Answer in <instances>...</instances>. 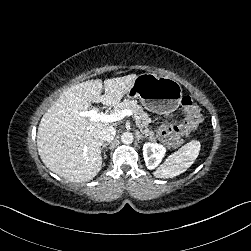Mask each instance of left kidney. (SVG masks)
<instances>
[{
	"instance_id": "obj_1",
	"label": "left kidney",
	"mask_w": 251,
	"mask_h": 251,
	"mask_svg": "<svg viewBox=\"0 0 251 251\" xmlns=\"http://www.w3.org/2000/svg\"><path fill=\"white\" fill-rule=\"evenodd\" d=\"M166 147L156 142H146L143 145V158L149 170H155L166 155Z\"/></svg>"
}]
</instances>
